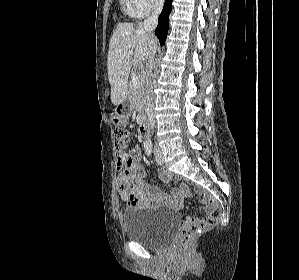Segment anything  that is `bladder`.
Returning a JSON list of instances; mask_svg holds the SVG:
<instances>
[{
    "label": "bladder",
    "instance_id": "bladder-1",
    "mask_svg": "<svg viewBox=\"0 0 299 280\" xmlns=\"http://www.w3.org/2000/svg\"><path fill=\"white\" fill-rule=\"evenodd\" d=\"M177 226V215L162 207L143 208L123 217L125 236L151 249L166 246Z\"/></svg>",
    "mask_w": 299,
    "mask_h": 280
}]
</instances>
